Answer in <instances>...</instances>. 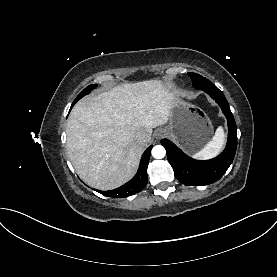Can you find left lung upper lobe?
Returning a JSON list of instances; mask_svg holds the SVG:
<instances>
[{
    "label": "left lung upper lobe",
    "instance_id": "obj_1",
    "mask_svg": "<svg viewBox=\"0 0 277 277\" xmlns=\"http://www.w3.org/2000/svg\"><path fill=\"white\" fill-rule=\"evenodd\" d=\"M188 75L192 80L193 87L196 89H203L204 87L214 85L211 81L197 73H188Z\"/></svg>",
    "mask_w": 277,
    "mask_h": 277
}]
</instances>
